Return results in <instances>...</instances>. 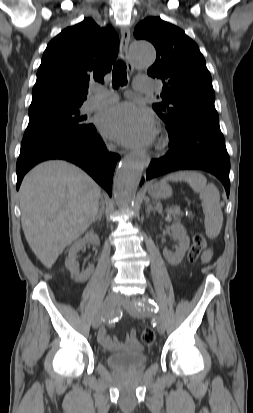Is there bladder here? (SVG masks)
<instances>
[{"label":"bladder","mask_w":253,"mask_h":413,"mask_svg":"<svg viewBox=\"0 0 253 413\" xmlns=\"http://www.w3.org/2000/svg\"><path fill=\"white\" fill-rule=\"evenodd\" d=\"M147 356L142 348L113 353L106 357L108 366L117 370L131 371L144 367L147 363Z\"/></svg>","instance_id":"1"}]
</instances>
